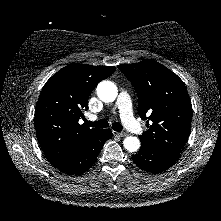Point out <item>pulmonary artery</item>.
I'll return each instance as SVG.
<instances>
[{
    "label": "pulmonary artery",
    "instance_id": "1",
    "mask_svg": "<svg viewBox=\"0 0 221 221\" xmlns=\"http://www.w3.org/2000/svg\"><path fill=\"white\" fill-rule=\"evenodd\" d=\"M116 107L119 109L120 117L125 127L135 134H141L143 128L133 116L131 99L127 92H120L116 101ZM91 119H96V116H91Z\"/></svg>",
    "mask_w": 221,
    "mask_h": 221
}]
</instances>
